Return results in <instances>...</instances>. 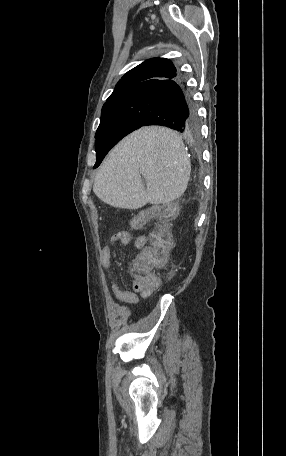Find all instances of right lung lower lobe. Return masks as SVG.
Instances as JSON below:
<instances>
[{"label":"right lung lower lobe","instance_id":"1","mask_svg":"<svg viewBox=\"0 0 286 456\" xmlns=\"http://www.w3.org/2000/svg\"><path fill=\"white\" fill-rule=\"evenodd\" d=\"M130 107L134 130L162 125L184 134L197 130V112L184 83L172 79L155 82L124 97ZM133 130V131H134Z\"/></svg>","mask_w":286,"mask_h":456}]
</instances>
